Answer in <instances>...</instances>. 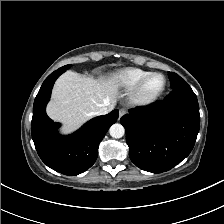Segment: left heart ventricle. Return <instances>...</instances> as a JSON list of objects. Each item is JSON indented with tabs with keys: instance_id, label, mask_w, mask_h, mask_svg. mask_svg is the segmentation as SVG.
I'll return each instance as SVG.
<instances>
[{
	"instance_id": "obj_1",
	"label": "left heart ventricle",
	"mask_w": 224,
	"mask_h": 224,
	"mask_svg": "<svg viewBox=\"0 0 224 224\" xmlns=\"http://www.w3.org/2000/svg\"><path fill=\"white\" fill-rule=\"evenodd\" d=\"M164 77L161 75H154L148 79L142 89V95L144 97H151L161 91L164 86Z\"/></svg>"
}]
</instances>
